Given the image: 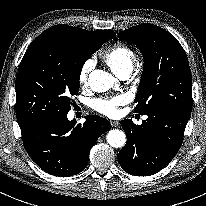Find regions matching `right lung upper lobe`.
Instances as JSON below:
<instances>
[{
  "instance_id": "right-lung-upper-lobe-1",
  "label": "right lung upper lobe",
  "mask_w": 206,
  "mask_h": 206,
  "mask_svg": "<svg viewBox=\"0 0 206 206\" xmlns=\"http://www.w3.org/2000/svg\"><path fill=\"white\" fill-rule=\"evenodd\" d=\"M46 31L62 33L85 41H92L100 38H107L108 40L111 38L116 39L115 33L111 30L87 31L67 25H56Z\"/></svg>"
}]
</instances>
